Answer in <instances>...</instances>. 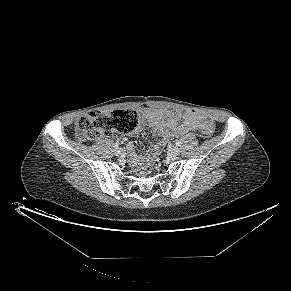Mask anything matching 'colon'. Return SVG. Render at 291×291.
Listing matches in <instances>:
<instances>
[{
  "label": "colon",
  "instance_id": "colon-1",
  "mask_svg": "<svg viewBox=\"0 0 291 291\" xmlns=\"http://www.w3.org/2000/svg\"><path fill=\"white\" fill-rule=\"evenodd\" d=\"M139 114L135 110H115L110 113L92 111L81 116L76 124L77 135L84 141H93L110 133H131L138 127ZM201 133L211 137L214 133L212 123L205 124Z\"/></svg>",
  "mask_w": 291,
  "mask_h": 291
}]
</instances>
